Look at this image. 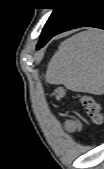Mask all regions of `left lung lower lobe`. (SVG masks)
Segmentation results:
<instances>
[{
	"instance_id": "0a47b994",
	"label": "left lung lower lobe",
	"mask_w": 104,
	"mask_h": 169,
	"mask_svg": "<svg viewBox=\"0 0 104 169\" xmlns=\"http://www.w3.org/2000/svg\"><path fill=\"white\" fill-rule=\"evenodd\" d=\"M103 0H76L63 21L49 34L40 38L37 48L43 47L53 36L79 27L89 26L104 29Z\"/></svg>"
}]
</instances>
